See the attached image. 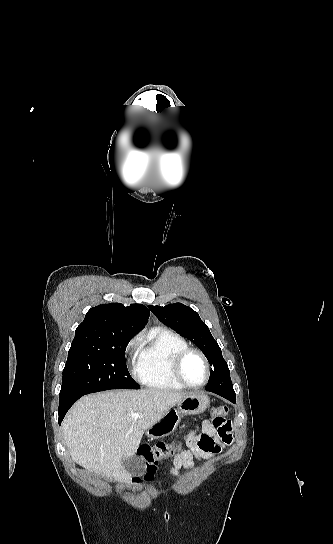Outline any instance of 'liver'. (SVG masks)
<instances>
[{"mask_svg":"<svg viewBox=\"0 0 333 544\" xmlns=\"http://www.w3.org/2000/svg\"><path fill=\"white\" fill-rule=\"evenodd\" d=\"M165 389L112 390L82 397L67 413L62 430L72 459L111 481L128 482L122 461L132 457L142 436L188 396ZM139 413L138 419L132 415Z\"/></svg>","mask_w":333,"mask_h":544,"instance_id":"1","label":"liver"}]
</instances>
